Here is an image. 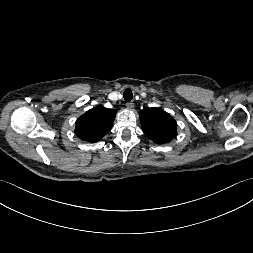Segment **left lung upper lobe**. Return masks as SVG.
<instances>
[{
	"label": "left lung upper lobe",
	"instance_id": "5c2ea615",
	"mask_svg": "<svg viewBox=\"0 0 253 253\" xmlns=\"http://www.w3.org/2000/svg\"><path fill=\"white\" fill-rule=\"evenodd\" d=\"M143 132L155 143L162 144L176 137V121L158 108H144L139 112Z\"/></svg>",
	"mask_w": 253,
	"mask_h": 253
}]
</instances>
